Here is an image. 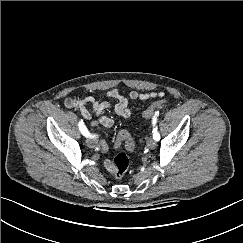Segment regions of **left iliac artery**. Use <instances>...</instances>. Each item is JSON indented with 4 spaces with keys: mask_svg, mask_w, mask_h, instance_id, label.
Here are the masks:
<instances>
[{
    "mask_svg": "<svg viewBox=\"0 0 243 243\" xmlns=\"http://www.w3.org/2000/svg\"><path fill=\"white\" fill-rule=\"evenodd\" d=\"M156 122H157V117L155 116V117L152 119V124H153V126H155ZM153 138H154V140H156V141H159V140H160V134H159L158 131H157V127H155V128L153 129Z\"/></svg>",
    "mask_w": 243,
    "mask_h": 243,
    "instance_id": "44dca946",
    "label": "left iliac artery"
}]
</instances>
